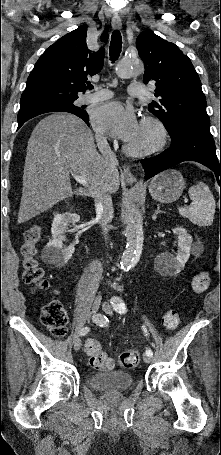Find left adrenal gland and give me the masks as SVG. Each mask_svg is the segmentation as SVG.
Returning <instances> with one entry per match:
<instances>
[{
    "label": "left adrenal gland",
    "instance_id": "left-adrenal-gland-1",
    "mask_svg": "<svg viewBox=\"0 0 221 455\" xmlns=\"http://www.w3.org/2000/svg\"><path fill=\"white\" fill-rule=\"evenodd\" d=\"M160 213H163V211L160 210V205L158 204L157 205V209H156L155 213L152 216V219L155 220L157 218V215L160 214Z\"/></svg>",
    "mask_w": 221,
    "mask_h": 455
}]
</instances>
